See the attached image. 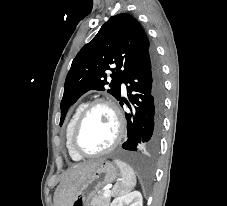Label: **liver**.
<instances>
[{
    "mask_svg": "<svg viewBox=\"0 0 227 206\" xmlns=\"http://www.w3.org/2000/svg\"><path fill=\"white\" fill-rule=\"evenodd\" d=\"M101 161H89L70 168L63 176L54 196L55 206H70L75 194L86 178L95 171Z\"/></svg>",
    "mask_w": 227,
    "mask_h": 206,
    "instance_id": "1",
    "label": "liver"
}]
</instances>
